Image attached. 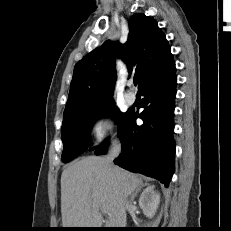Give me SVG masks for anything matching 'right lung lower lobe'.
I'll return each mask as SVG.
<instances>
[{"instance_id":"right-lung-lower-lobe-1","label":"right lung lower lobe","mask_w":231,"mask_h":231,"mask_svg":"<svg viewBox=\"0 0 231 231\" xmlns=\"http://www.w3.org/2000/svg\"><path fill=\"white\" fill-rule=\"evenodd\" d=\"M177 76L173 75L147 84L140 90L145 109L137 116L129 110L118 128L121 154L114 160L120 167L159 180L166 187L174 173L175 141L174 100ZM143 125L136 124V118ZM108 143L95 150L96 155L107 151Z\"/></svg>"}]
</instances>
